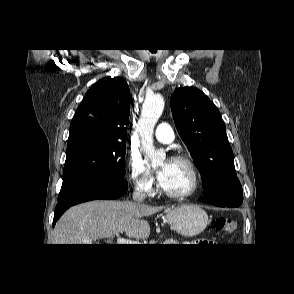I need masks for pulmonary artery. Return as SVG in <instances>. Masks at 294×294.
<instances>
[{"instance_id":"pulmonary-artery-1","label":"pulmonary artery","mask_w":294,"mask_h":294,"mask_svg":"<svg viewBox=\"0 0 294 294\" xmlns=\"http://www.w3.org/2000/svg\"><path fill=\"white\" fill-rule=\"evenodd\" d=\"M155 137L161 143H171L174 140V133L168 123H160L155 130Z\"/></svg>"}]
</instances>
